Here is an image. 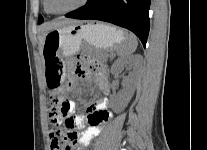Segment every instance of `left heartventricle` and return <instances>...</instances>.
Instances as JSON below:
<instances>
[{"instance_id":"1","label":"left heart ventricle","mask_w":207,"mask_h":150,"mask_svg":"<svg viewBox=\"0 0 207 150\" xmlns=\"http://www.w3.org/2000/svg\"><path fill=\"white\" fill-rule=\"evenodd\" d=\"M81 1L82 0H50V6L55 11H65L76 6Z\"/></svg>"}]
</instances>
